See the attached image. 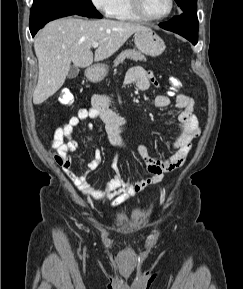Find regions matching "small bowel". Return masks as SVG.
I'll return each instance as SVG.
<instances>
[{"instance_id": "1", "label": "small bowel", "mask_w": 243, "mask_h": 289, "mask_svg": "<svg viewBox=\"0 0 243 289\" xmlns=\"http://www.w3.org/2000/svg\"><path fill=\"white\" fill-rule=\"evenodd\" d=\"M133 83L140 90H147L150 84L159 86L154 74L140 66L129 69L126 74L125 84L130 85ZM109 101L110 97L108 95L95 94L91 99L90 108H79L76 115L71 116L66 123L55 129L51 144L57 150L56 157L60 158L59 164L63 171L83 195L97 201H110L112 208H118L138 192L150 185L159 183L165 173L183 165L193 141L200 134V124L194 112L195 104L193 99L185 94H178L175 100V107L180 111L178 121L182 126V131L172 143L173 154L165 159L154 158L148 154L145 146L140 145L137 148V152L150 175L134 184L125 181L121 174L118 157H115L112 162L113 176L104 187H98L88 180V175L99 169L102 162V152L96 149L93 158L87 164L86 171L81 175L76 174L72 164L71 153L79 150L80 144L74 138V129L83 121L98 119L104 125V131L109 142L117 148L124 149L126 142L122 137L121 129L128 123V120L126 117L113 112L109 108ZM153 104L156 108H165L170 104V98L164 94L157 95ZM92 129L93 125L89 124L87 132L89 138L91 137Z\"/></svg>"}]
</instances>
